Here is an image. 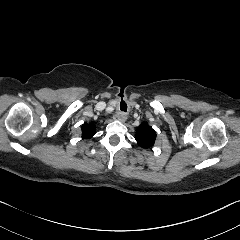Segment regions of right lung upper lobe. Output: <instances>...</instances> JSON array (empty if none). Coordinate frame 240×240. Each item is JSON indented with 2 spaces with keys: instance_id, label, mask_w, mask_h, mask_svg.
Returning <instances> with one entry per match:
<instances>
[{
  "instance_id": "cb5924a9",
  "label": "right lung upper lobe",
  "mask_w": 240,
  "mask_h": 240,
  "mask_svg": "<svg viewBox=\"0 0 240 240\" xmlns=\"http://www.w3.org/2000/svg\"><path fill=\"white\" fill-rule=\"evenodd\" d=\"M82 137L83 138H91L95 134V125L94 124H84L82 127Z\"/></svg>"
}]
</instances>
